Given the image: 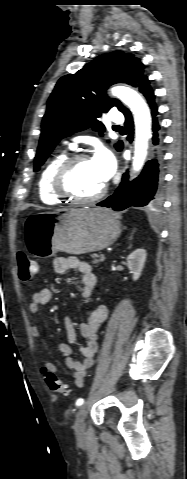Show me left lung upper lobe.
Instances as JSON below:
<instances>
[{"label": "left lung upper lobe", "mask_w": 187, "mask_h": 479, "mask_svg": "<svg viewBox=\"0 0 187 479\" xmlns=\"http://www.w3.org/2000/svg\"><path fill=\"white\" fill-rule=\"evenodd\" d=\"M145 78L144 65L123 51L101 55L75 74L62 77L47 102L34 171L62 138L89 127L102 135L105 127L97 120L102 112L114 106L121 112L126 110L119 100L107 97L105 91L110 85L122 82L138 88ZM121 145L117 143L116 149Z\"/></svg>", "instance_id": "5c2ea615"}]
</instances>
